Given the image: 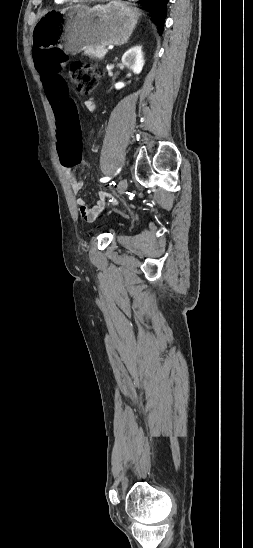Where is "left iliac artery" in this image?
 <instances>
[{"instance_id": "44dca946", "label": "left iliac artery", "mask_w": 253, "mask_h": 548, "mask_svg": "<svg viewBox=\"0 0 253 548\" xmlns=\"http://www.w3.org/2000/svg\"><path fill=\"white\" fill-rule=\"evenodd\" d=\"M119 172V170H118ZM111 178L110 177H104V178H101L100 181L101 182H108Z\"/></svg>"}]
</instances>
